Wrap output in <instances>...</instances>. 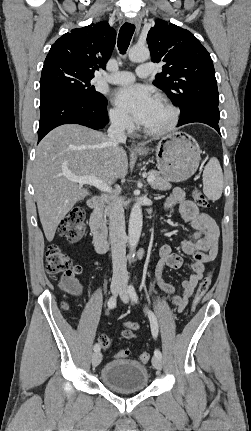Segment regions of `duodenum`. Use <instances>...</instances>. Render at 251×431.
<instances>
[{"instance_id": "1", "label": "duodenum", "mask_w": 251, "mask_h": 431, "mask_svg": "<svg viewBox=\"0 0 251 431\" xmlns=\"http://www.w3.org/2000/svg\"><path fill=\"white\" fill-rule=\"evenodd\" d=\"M91 214L89 226L93 237L95 250L100 253H106L109 248L107 230L103 222V209L105 201L102 197H93L88 203Z\"/></svg>"}]
</instances>
